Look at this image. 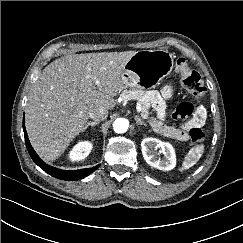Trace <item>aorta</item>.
Masks as SVG:
<instances>
[{
  "label": "aorta",
  "instance_id": "762f6f07",
  "mask_svg": "<svg viewBox=\"0 0 243 243\" xmlns=\"http://www.w3.org/2000/svg\"><path fill=\"white\" fill-rule=\"evenodd\" d=\"M129 122L125 118H118L113 123V129L116 133L122 134L127 131Z\"/></svg>",
  "mask_w": 243,
  "mask_h": 243
}]
</instances>
